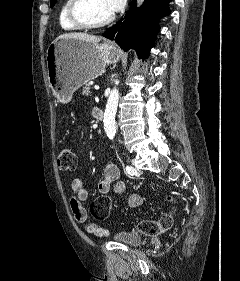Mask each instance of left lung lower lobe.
<instances>
[{"instance_id": "0a47b994", "label": "left lung lower lobe", "mask_w": 240, "mask_h": 281, "mask_svg": "<svg viewBox=\"0 0 240 281\" xmlns=\"http://www.w3.org/2000/svg\"><path fill=\"white\" fill-rule=\"evenodd\" d=\"M171 0H145L140 8L133 1L130 10L103 36L116 43L125 51L135 49L138 57L147 58L153 46L156 33L160 30L158 21L170 14Z\"/></svg>"}]
</instances>
